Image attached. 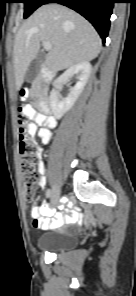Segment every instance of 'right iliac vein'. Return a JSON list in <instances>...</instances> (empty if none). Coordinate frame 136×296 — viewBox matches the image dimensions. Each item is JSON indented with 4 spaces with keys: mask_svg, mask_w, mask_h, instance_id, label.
Instances as JSON below:
<instances>
[{
    "mask_svg": "<svg viewBox=\"0 0 136 296\" xmlns=\"http://www.w3.org/2000/svg\"><path fill=\"white\" fill-rule=\"evenodd\" d=\"M59 198H60V189H59V187L55 186L52 190V193H51L52 206L57 205Z\"/></svg>",
    "mask_w": 136,
    "mask_h": 296,
    "instance_id": "63e3f726",
    "label": "right iliac vein"
}]
</instances>
